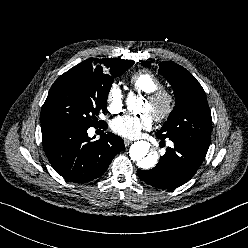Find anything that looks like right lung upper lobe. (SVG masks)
Returning a JSON list of instances; mask_svg holds the SVG:
<instances>
[{
  "label": "right lung upper lobe",
  "instance_id": "cb5924a9",
  "mask_svg": "<svg viewBox=\"0 0 248 248\" xmlns=\"http://www.w3.org/2000/svg\"><path fill=\"white\" fill-rule=\"evenodd\" d=\"M125 60H119V59H111V58H103V59H97V58H90L87 59L80 64L79 66H86V67H92V68H105V69H113L115 67H118L121 65Z\"/></svg>",
  "mask_w": 248,
  "mask_h": 248
}]
</instances>
